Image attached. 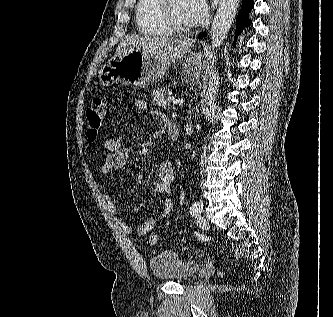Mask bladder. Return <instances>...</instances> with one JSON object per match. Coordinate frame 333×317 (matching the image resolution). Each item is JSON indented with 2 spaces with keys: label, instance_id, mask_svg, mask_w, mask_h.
Here are the masks:
<instances>
[{
  "label": "bladder",
  "instance_id": "bladder-1",
  "mask_svg": "<svg viewBox=\"0 0 333 317\" xmlns=\"http://www.w3.org/2000/svg\"><path fill=\"white\" fill-rule=\"evenodd\" d=\"M149 266L157 279L172 282H185L191 279L199 269L197 262L182 258L170 250L152 256Z\"/></svg>",
  "mask_w": 333,
  "mask_h": 317
}]
</instances>
